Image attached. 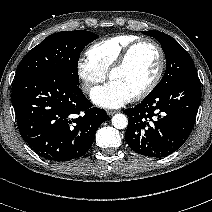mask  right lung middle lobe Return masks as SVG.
<instances>
[{"label":"right lung middle lobe","instance_id":"dd1d6c3e","mask_svg":"<svg viewBox=\"0 0 212 212\" xmlns=\"http://www.w3.org/2000/svg\"><path fill=\"white\" fill-rule=\"evenodd\" d=\"M97 38V34L85 30L52 34L25 55L17 68L15 79L31 74L51 73L79 84V54Z\"/></svg>","mask_w":212,"mask_h":212}]
</instances>
